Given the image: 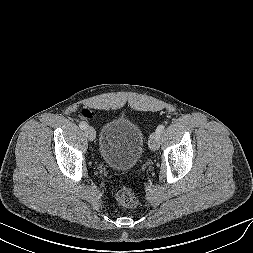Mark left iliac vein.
I'll return each instance as SVG.
<instances>
[{
    "label": "left iliac vein",
    "mask_w": 253,
    "mask_h": 253,
    "mask_svg": "<svg viewBox=\"0 0 253 253\" xmlns=\"http://www.w3.org/2000/svg\"><path fill=\"white\" fill-rule=\"evenodd\" d=\"M160 146V134L157 132H153L150 135L149 139V148L153 151H156Z\"/></svg>",
    "instance_id": "4c4485c4"
}]
</instances>
